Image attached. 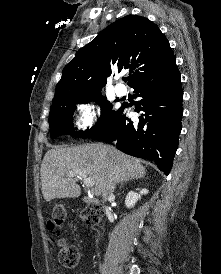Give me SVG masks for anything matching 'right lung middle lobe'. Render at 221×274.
Returning <instances> with one entry per match:
<instances>
[{
    "instance_id": "1",
    "label": "right lung middle lobe",
    "mask_w": 221,
    "mask_h": 274,
    "mask_svg": "<svg viewBox=\"0 0 221 274\" xmlns=\"http://www.w3.org/2000/svg\"><path fill=\"white\" fill-rule=\"evenodd\" d=\"M90 100H96L102 109V115L99 121L86 131H75L73 128V114L76 110V104L88 103ZM119 111V110H118ZM118 111H113L110 102L101 94L75 98L64 97L52 102L49 115V126L51 138L63 134H71L83 138H89L103 130L116 116Z\"/></svg>"
}]
</instances>
